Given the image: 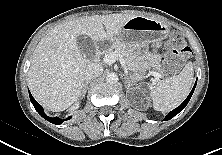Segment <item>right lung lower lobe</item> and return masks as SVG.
Returning <instances> with one entry per match:
<instances>
[{
  "mask_svg": "<svg viewBox=\"0 0 222 155\" xmlns=\"http://www.w3.org/2000/svg\"><path fill=\"white\" fill-rule=\"evenodd\" d=\"M30 96V100L34 106V108L36 109V111L46 120H48L49 122L53 123V124H60L62 123V121L55 117V118H51L49 116H47L44 111L43 108L36 102V100L32 97L31 93H29ZM71 117H68L66 120L70 119Z\"/></svg>",
  "mask_w": 222,
  "mask_h": 155,
  "instance_id": "right-lung-lower-lobe-1",
  "label": "right lung lower lobe"
}]
</instances>
